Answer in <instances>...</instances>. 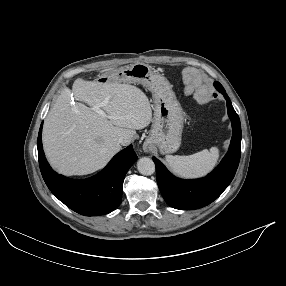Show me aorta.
Listing matches in <instances>:
<instances>
[{
	"instance_id": "762f6f07",
	"label": "aorta",
	"mask_w": 286,
	"mask_h": 286,
	"mask_svg": "<svg viewBox=\"0 0 286 286\" xmlns=\"http://www.w3.org/2000/svg\"><path fill=\"white\" fill-rule=\"evenodd\" d=\"M137 169L142 175H152L155 172V164L152 159L142 157L137 162Z\"/></svg>"
}]
</instances>
